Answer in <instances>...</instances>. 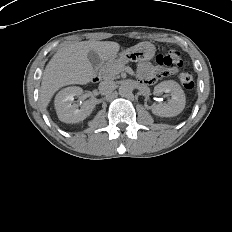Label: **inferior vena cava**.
I'll list each match as a JSON object with an SVG mask.
<instances>
[{"label":"inferior vena cava","instance_id":"obj_1","mask_svg":"<svg viewBox=\"0 0 232 232\" xmlns=\"http://www.w3.org/2000/svg\"><path fill=\"white\" fill-rule=\"evenodd\" d=\"M114 81L112 80H105V81H102L100 82L99 84V92L102 94V95H107L109 93L112 92L113 88H114Z\"/></svg>","mask_w":232,"mask_h":232}]
</instances>
